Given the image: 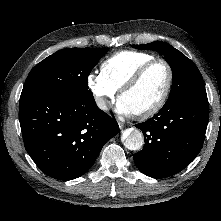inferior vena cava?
<instances>
[{"mask_svg":"<svg viewBox=\"0 0 221 221\" xmlns=\"http://www.w3.org/2000/svg\"><path fill=\"white\" fill-rule=\"evenodd\" d=\"M97 105L100 109L102 110H106L107 109V103L105 100H103L102 98H97L96 100Z\"/></svg>","mask_w":221,"mask_h":221,"instance_id":"1","label":"inferior vena cava"}]
</instances>
